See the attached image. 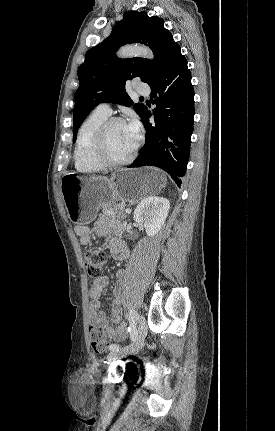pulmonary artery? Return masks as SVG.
<instances>
[{"label":"pulmonary artery","mask_w":275,"mask_h":431,"mask_svg":"<svg viewBox=\"0 0 275 431\" xmlns=\"http://www.w3.org/2000/svg\"><path fill=\"white\" fill-rule=\"evenodd\" d=\"M135 90L140 94H148L150 92V88L147 84L138 83L135 85ZM96 110L105 114L110 115L112 110L108 103H101L96 107Z\"/></svg>","instance_id":"pulmonary-artery-1"}]
</instances>
